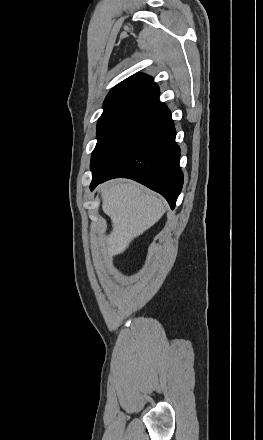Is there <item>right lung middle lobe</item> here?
<instances>
[{
    "label": "right lung middle lobe",
    "mask_w": 263,
    "mask_h": 440,
    "mask_svg": "<svg viewBox=\"0 0 263 440\" xmlns=\"http://www.w3.org/2000/svg\"><path fill=\"white\" fill-rule=\"evenodd\" d=\"M160 111V107H139L104 112L98 121V141L91 156L92 178L105 176Z\"/></svg>",
    "instance_id": "right-lung-middle-lobe-1"
}]
</instances>
